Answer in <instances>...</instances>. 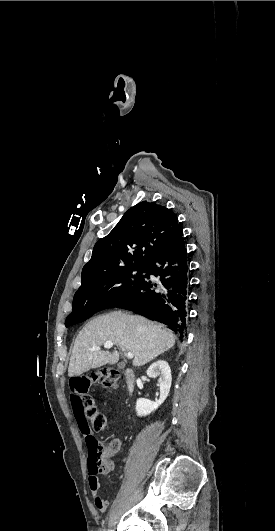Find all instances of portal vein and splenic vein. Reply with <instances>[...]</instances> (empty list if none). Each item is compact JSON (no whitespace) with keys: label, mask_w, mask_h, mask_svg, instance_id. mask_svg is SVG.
<instances>
[{"label":"portal vein and splenic vein","mask_w":275,"mask_h":531,"mask_svg":"<svg viewBox=\"0 0 275 531\" xmlns=\"http://www.w3.org/2000/svg\"><path fill=\"white\" fill-rule=\"evenodd\" d=\"M113 345L114 343H112V341H106V343H104V349H111ZM90 351H101V349L100 347H94V349H90ZM133 357V353H127V359H133Z\"/></svg>","instance_id":"18ae733b"}]
</instances>
